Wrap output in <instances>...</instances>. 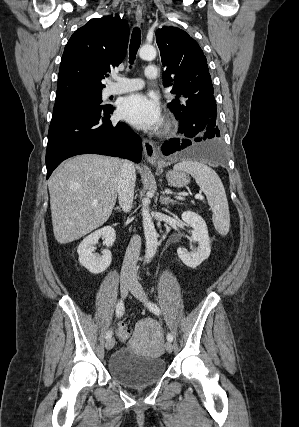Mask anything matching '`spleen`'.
Here are the masks:
<instances>
[{
	"label": "spleen",
	"mask_w": 299,
	"mask_h": 427,
	"mask_svg": "<svg viewBox=\"0 0 299 427\" xmlns=\"http://www.w3.org/2000/svg\"><path fill=\"white\" fill-rule=\"evenodd\" d=\"M174 170L191 174L207 197L216 231L222 236L227 235L230 226L229 206L223 183L217 173L206 164L195 160L181 161L175 164Z\"/></svg>",
	"instance_id": "obj_1"
}]
</instances>
